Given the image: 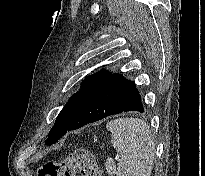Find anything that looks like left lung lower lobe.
<instances>
[{
  "label": "left lung lower lobe",
  "instance_id": "obj_1",
  "mask_svg": "<svg viewBox=\"0 0 205 176\" xmlns=\"http://www.w3.org/2000/svg\"><path fill=\"white\" fill-rule=\"evenodd\" d=\"M128 111L144 112L141 97L134 83L121 74L114 73L96 92L88 95L80 103L66 132L76 130L105 117Z\"/></svg>",
  "mask_w": 205,
  "mask_h": 176
}]
</instances>
